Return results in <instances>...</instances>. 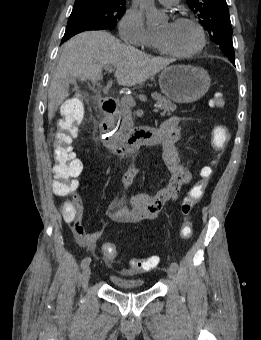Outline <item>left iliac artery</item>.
Here are the masks:
<instances>
[{
  "label": "left iliac artery",
  "mask_w": 261,
  "mask_h": 340,
  "mask_svg": "<svg viewBox=\"0 0 261 340\" xmlns=\"http://www.w3.org/2000/svg\"><path fill=\"white\" fill-rule=\"evenodd\" d=\"M170 266L176 269L178 268V264L176 262H172Z\"/></svg>",
  "instance_id": "obj_1"
}]
</instances>
